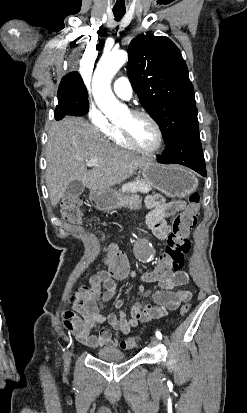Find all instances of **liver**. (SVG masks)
I'll return each instance as SVG.
<instances>
[{
    "label": "liver",
    "instance_id": "obj_1",
    "mask_svg": "<svg viewBox=\"0 0 247 413\" xmlns=\"http://www.w3.org/2000/svg\"><path fill=\"white\" fill-rule=\"evenodd\" d=\"M90 158H98V164L88 170ZM46 160L47 188L52 207H57L72 180H82L90 190H105L129 178L150 158L114 148L81 116H65L48 132Z\"/></svg>",
    "mask_w": 247,
    "mask_h": 413
}]
</instances>
